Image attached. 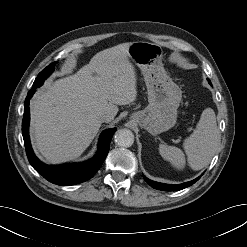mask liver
I'll return each mask as SVG.
<instances>
[{"instance_id": "liver-1", "label": "liver", "mask_w": 247, "mask_h": 247, "mask_svg": "<svg viewBox=\"0 0 247 247\" xmlns=\"http://www.w3.org/2000/svg\"><path fill=\"white\" fill-rule=\"evenodd\" d=\"M130 45L122 43L98 52L75 74L46 85L34 96L31 135L41 158L53 164L77 158L98 133L101 114L113 120L118 105L136 100Z\"/></svg>"}]
</instances>
